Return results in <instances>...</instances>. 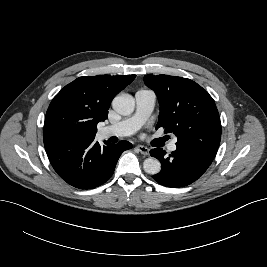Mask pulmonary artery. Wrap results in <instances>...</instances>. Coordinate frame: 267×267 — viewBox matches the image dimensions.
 Masks as SVG:
<instances>
[{"mask_svg":"<svg viewBox=\"0 0 267 267\" xmlns=\"http://www.w3.org/2000/svg\"><path fill=\"white\" fill-rule=\"evenodd\" d=\"M155 94L150 90H140L135 94L136 112L131 117H128L114 125L106 126L99 131L102 138L111 136H128L136 132L144 121L151 114L155 105ZM177 138H174L168 145L169 151H175Z\"/></svg>","mask_w":267,"mask_h":267,"instance_id":"obj_1","label":"pulmonary artery"}]
</instances>
